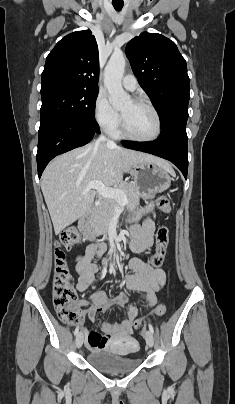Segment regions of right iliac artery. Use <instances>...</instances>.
<instances>
[{"instance_id":"82829eb1","label":"right iliac artery","mask_w":235,"mask_h":404,"mask_svg":"<svg viewBox=\"0 0 235 404\" xmlns=\"http://www.w3.org/2000/svg\"><path fill=\"white\" fill-rule=\"evenodd\" d=\"M78 332H79V327H77V328L75 329V331H74V335H77V334H78Z\"/></svg>"}]
</instances>
